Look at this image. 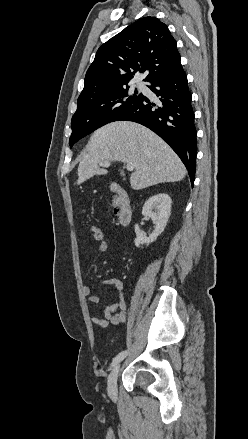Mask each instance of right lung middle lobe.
<instances>
[{
  "mask_svg": "<svg viewBox=\"0 0 248 439\" xmlns=\"http://www.w3.org/2000/svg\"><path fill=\"white\" fill-rule=\"evenodd\" d=\"M128 88L114 90L78 106L71 121L70 147L101 126L118 121L141 100L142 93H130Z\"/></svg>",
  "mask_w": 248,
  "mask_h": 439,
  "instance_id": "right-lung-middle-lobe-1",
  "label": "right lung middle lobe"
}]
</instances>
